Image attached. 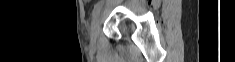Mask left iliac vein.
<instances>
[{
    "mask_svg": "<svg viewBox=\"0 0 235 62\" xmlns=\"http://www.w3.org/2000/svg\"><path fill=\"white\" fill-rule=\"evenodd\" d=\"M100 22H101V15L99 14L92 22L90 27V37L92 43H95L97 40V35L100 28Z\"/></svg>",
    "mask_w": 235,
    "mask_h": 62,
    "instance_id": "4c4485c4",
    "label": "left iliac vein"
}]
</instances>
